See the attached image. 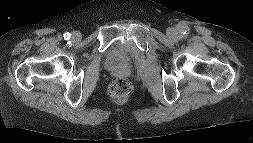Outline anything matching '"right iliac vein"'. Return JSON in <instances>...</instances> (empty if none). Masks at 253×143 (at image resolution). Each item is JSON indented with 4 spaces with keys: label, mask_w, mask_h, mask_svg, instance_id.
<instances>
[{
    "label": "right iliac vein",
    "mask_w": 253,
    "mask_h": 143,
    "mask_svg": "<svg viewBox=\"0 0 253 143\" xmlns=\"http://www.w3.org/2000/svg\"><path fill=\"white\" fill-rule=\"evenodd\" d=\"M80 39H81L80 33L74 32V33L72 34V40H73V41H79Z\"/></svg>",
    "instance_id": "obj_1"
}]
</instances>
